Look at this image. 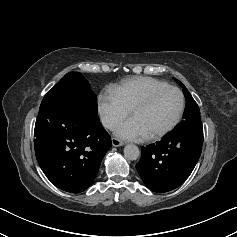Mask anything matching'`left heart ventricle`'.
Listing matches in <instances>:
<instances>
[{
    "instance_id": "obj_1",
    "label": "left heart ventricle",
    "mask_w": 237,
    "mask_h": 237,
    "mask_svg": "<svg viewBox=\"0 0 237 237\" xmlns=\"http://www.w3.org/2000/svg\"><path fill=\"white\" fill-rule=\"evenodd\" d=\"M180 104L177 92L166 90L158 94L145 107L132 112L134 119L142 128L146 136L165 128L175 117Z\"/></svg>"
}]
</instances>
